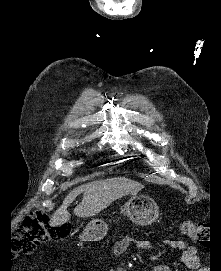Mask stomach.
Instances as JSON below:
<instances>
[{
    "instance_id": "stomach-1",
    "label": "stomach",
    "mask_w": 221,
    "mask_h": 271,
    "mask_svg": "<svg viewBox=\"0 0 221 271\" xmlns=\"http://www.w3.org/2000/svg\"><path fill=\"white\" fill-rule=\"evenodd\" d=\"M154 197H133L125 203L122 211L131 217L137 225H148L155 219V213H159L157 202ZM107 225L101 219H92L86 225L84 233H80V238H87L88 241H99L107 233Z\"/></svg>"
}]
</instances>
